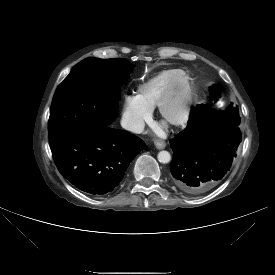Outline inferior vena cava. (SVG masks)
Returning <instances> with one entry per match:
<instances>
[{
    "label": "inferior vena cava",
    "instance_id": "obj_1",
    "mask_svg": "<svg viewBox=\"0 0 275 275\" xmlns=\"http://www.w3.org/2000/svg\"><path fill=\"white\" fill-rule=\"evenodd\" d=\"M121 126L134 133H142L144 130V121L134 117H123L121 120Z\"/></svg>",
    "mask_w": 275,
    "mask_h": 275
}]
</instances>
